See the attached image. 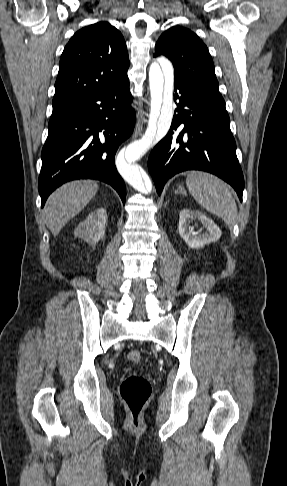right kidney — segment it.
<instances>
[{"label":"right kidney","instance_id":"1","mask_svg":"<svg viewBox=\"0 0 287 486\" xmlns=\"http://www.w3.org/2000/svg\"><path fill=\"white\" fill-rule=\"evenodd\" d=\"M106 219L107 213L105 209L99 208L92 211L76 227L74 231L75 237H79L87 243L96 244L105 235Z\"/></svg>","mask_w":287,"mask_h":486}]
</instances>
